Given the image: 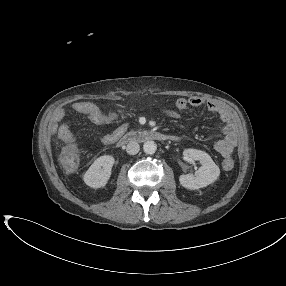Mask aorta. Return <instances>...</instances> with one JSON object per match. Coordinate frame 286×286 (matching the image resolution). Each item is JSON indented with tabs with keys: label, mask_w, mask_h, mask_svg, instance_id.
<instances>
[{
	"label": "aorta",
	"mask_w": 286,
	"mask_h": 286,
	"mask_svg": "<svg viewBox=\"0 0 286 286\" xmlns=\"http://www.w3.org/2000/svg\"><path fill=\"white\" fill-rule=\"evenodd\" d=\"M143 150L146 154H154L157 150V145L154 141H146L143 144Z\"/></svg>",
	"instance_id": "1"
}]
</instances>
